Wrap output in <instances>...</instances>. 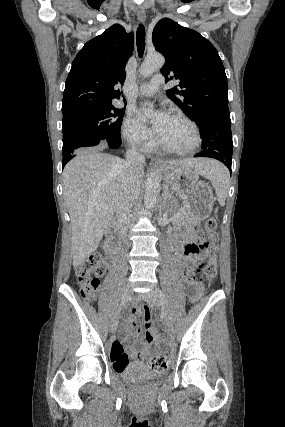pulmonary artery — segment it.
<instances>
[{
	"mask_svg": "<svg viewBox=\"0 0 285 427\" xmlns=\"http://www.w3.org/2000/svg\"><path fill=\"white\" fill-rule=\"evenodd\" d=\"M164 78L161 75H154L149 82L141 84L135 95L137 96H153L155 95L159 87L163 84Z\"/></svg>",
	"mask_w": 285,
	"mask_h": 427,
	"instance_id": "obj_1",
	"label": "pulmonary artery"
}]
</instances>
